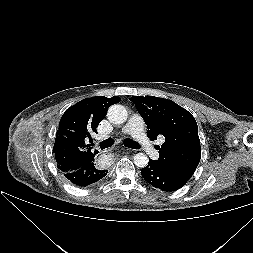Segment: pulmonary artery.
Segmentation results:
<instances>
[{
  "label": "pulmonary artery",
  "mask_w": 253,
  "mask_h": 253,
  "mask_svg": "<svg viewBox=\"0 0 253 253\" xmlns=\"http://www.w3.org/2000/svg\"><path fill=\"white\" fill-rule=\"evenodd\" d=\"M123 134H130L132 137L142 145L144 151L147 155L153 159H158V151L149 143V140L144 131L143 119L137 115L133 114L127 124L122 129Z\"/></svg>",
  "instance_id": "pulmonary-artery-1"
}]
</instances>
